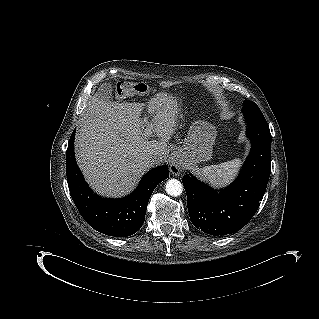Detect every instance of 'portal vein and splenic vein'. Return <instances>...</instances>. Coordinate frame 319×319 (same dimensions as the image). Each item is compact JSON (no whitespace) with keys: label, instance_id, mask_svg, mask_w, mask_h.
I'll use <instances>...</instances> for the list:
<instances>
[{"label":"portal vein and splenic vein","instance_id":"obj_1","mask_svg":"<svg viewBox=\"0 0 319 319\" xmlns=\"http://www.w3.org/2000/svg\"><path fill=\"white\" fill-rule=\"evenodd\" d=\"M146 135H150L152 133V126H148L145 131Z\"/></svg>","mask_w":319,"mask_h":319}]
</instances>
